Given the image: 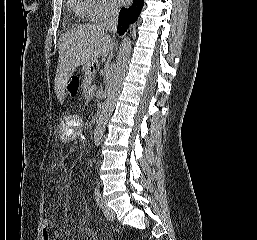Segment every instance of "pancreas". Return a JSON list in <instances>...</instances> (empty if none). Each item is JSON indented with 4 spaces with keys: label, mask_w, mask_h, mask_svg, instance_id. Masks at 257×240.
Masks as SVG:
<instances>
[{
    "label": "pancreas",
    "mask_w": 257,
    "mask_h": 240,
    "mask_svg": "<svg viewBox=\"0 0 257 240\" xmlns=\"http://www.w3.org/2000/svg\"><path fill=\"white\" fill-rule=\"evenodd\" d=\"M87 76L82 84V93L84 97H88L89 96V90L91 88V74L90 72H86Z\"/></svg>",
    "instance_id": "obj_1"
}]
</instances>
